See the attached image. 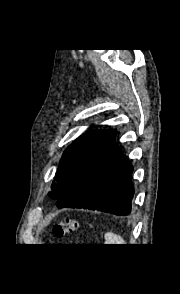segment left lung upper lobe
<instances>
[{
    "label": "left lung upper lobe",
    "instance_id": "left-lung-upper-lobe-1",
    "mask_svg": "<svg viewBox=\"0 0 180 294\" xmlns=\"http://www.w3.org/2000/svg\"><path fill=\"white\" fill-rule=\"evenodd\" d=\"M111 130H94L78 137L64 151L56 176L52 182V191L48 195L53 199H62L71 189L73 183L96 155Z\"/></svg>",
    "mask_w": 180,
    "mask_h": 294
}]
</instances>
